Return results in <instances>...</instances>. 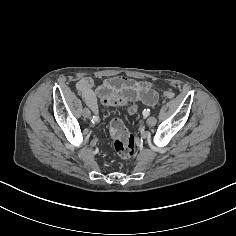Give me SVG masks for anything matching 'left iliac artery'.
<instances>
[{"label":"left iliac artery","mask_w":236,"mask_h":236,"mask_svg":"<svg viewBox=\"0 0 236 236\" xmlns=\"http://www.w3.org/2000/svg\"><path fill=\"white\" fill-rule=\"evenodd\" d=\"M149 114H150V110L149 109H144L143 116L147 117Z\"/></svg>","instance_id":"1"}]
</instances>
